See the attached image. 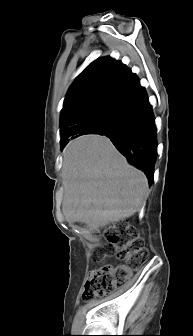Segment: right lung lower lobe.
I'll return each mask as SVG.
<instances>
[{"label": "right lung lower lobe", "instance_id": "1", "mask_svg": "<svg viewBox=\"0 0 193 336\" xmlns=\"http://www.w3.org/2000/svg\"><path fill=\"white\" fill-rule=\"evenodd\" d=\"M97 134L109 137L130 164L144 171L149 185L153 183L157 131L146 91L137 77L116 101Z\"/></svg>", "mask_w": 193, "mask_h": 336}]
</instances>
